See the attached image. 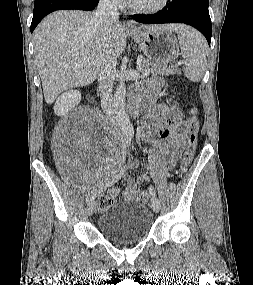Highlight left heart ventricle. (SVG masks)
<instances>
[{
    "instance_id": "1",
    "label": "left heart ventricle",
    "mask_w": 253,
    "mask_h": 285,
    "mask_svg": "<svg viewBox=\"0 0 253 285\" xmlns=\"http://www.w3.org/2000/svg\"><path fill=\"white\" fill-rule=\"evenodd\" d=\"M131 3L138 7H151L157 5L161 0H130Z\"/></svg>"
}]
</instances>
